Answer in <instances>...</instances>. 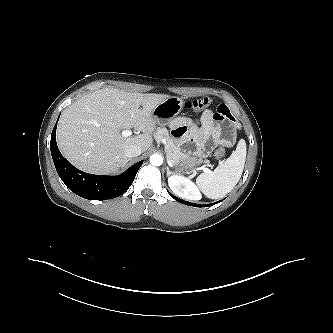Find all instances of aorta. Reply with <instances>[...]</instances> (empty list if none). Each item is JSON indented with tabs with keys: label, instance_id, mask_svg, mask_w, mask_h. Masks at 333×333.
I'll use <instances>...</instances> for the list:
<instances>
[{
	"label": "aorta",
	"instance_id": "aorta-1",
	"mask_svg": "<svg viewBox=\"0 0 333 333\" xmlns=\"http://www.w3.org/2000/svg\"><path fill=\"white\" fill-rule=\"evenodd\" d=\"M150 163L154 166H160L163 163V158L159 154H154L150 157Z\"/></svg>",
	"mask_w": 333,
	"mask_h": 333
}]
</instances>
